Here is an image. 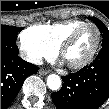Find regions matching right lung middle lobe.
<instances>
[{"label":"right lung middle lobe","instance_id":"right-lung-middle-lobe-1","mask_svg":"<svg viewBox=\"0 0 109 109\" xmlns=\"http://www.w3.org/2000/svg\"><path fill=\"white\" fill-rule=\"evenodd\" d=\"M22 29L14 26L1 25V41L16 45L17 34Z\"/></svg>","mask_w":109,"mask_h":109}]
</instances>
